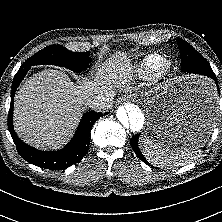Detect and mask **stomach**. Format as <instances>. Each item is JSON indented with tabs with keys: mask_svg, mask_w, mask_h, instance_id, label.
<instances>
[{
	"mask_svg": "<svg viewBox=\"0 0 222 222\" xmlns=\"http://www.w3.org/2000/svg\"><path fill=\"white\" fill-rule=\"evenodd\" d=\"M215 104L216 93L209 80L197 76L171 79L146 100V136L169 148H201L214 127Z\"/></svg>",
	"mask_w": 222,
	"mask_h": 222,
	"instance_id": "1",
	"label": "stomach"
}]
</instances>
